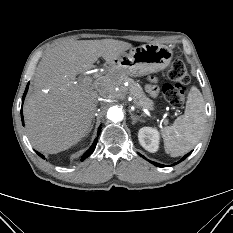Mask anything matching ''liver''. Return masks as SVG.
<instances>
[{
  "mask_svg": "<svg viewBox=\"0 0 233 233\" xmlns=\"http://www.w3.org/2000/svg\"><path fill=\"white\" fill-rule=\"evenodd\" d=\"M130 48L114 39L68 40L45 53L23 107L27 136L36 150L56 154L88 134L98 93L106 94L111 79L99 77L85 87L75 82L76 76L94 68L99 57L111 65Z\"/></svg>",
  "mask_w": 233,
  "mask_h": 233,
  "instance_id": "6515ba94",
  "label": "liver"
}]
</instances>
